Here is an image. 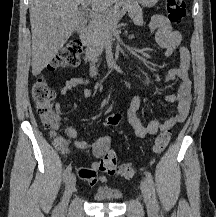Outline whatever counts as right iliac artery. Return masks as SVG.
Instances as JSON below:
<instances>
[{
  "mask_svg": "<svg viewBox=\"0 0 216 217\" xmlns=\"http://www.w3.org/2000/svg\"><path fill=\"white\" fill-rule=\"evenodd\" d=\"M71 165L67 166V168L65 169L64 173H63V180L67 181V179L69 178V176L71 175Z\"/></svg>",
  "mask_w": 216,
  "mask_h": 217,
  "instance_id": "right-iliac-artery-1",
  "label": "right iliac artery"
}]
</instances>
